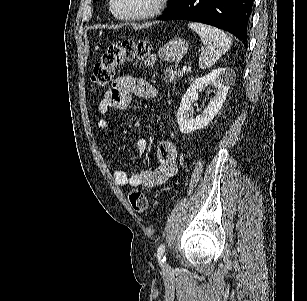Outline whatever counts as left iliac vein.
Wrapping results in <instances>:
<instances>
[{
  "label": "left iliac vein",
  "mask_w": 307,
  "mask_h": 301,
  "mask_svg": "<svg viewBox=\"0 0 307 301\" xmlns=\"http://www.w3.org/2000/svg\"><path fill=\"white\" fill-rule=\"evenodd\" d=\"M165 266H166V267H169V265H168L167 263H165Z\"/></svg>",
  "instance_id": "obj_1"
}]
</instances>
